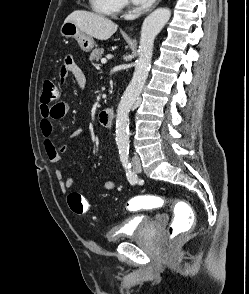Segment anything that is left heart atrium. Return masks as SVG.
I'll return each mask as SVG.
<instances>
[{"label":"left heart atrium","instance_id":"obj_1","mask_svg":"<svg viewBox=\"0 0 249 294\" xmlns=\"http://www.w3.org/2000/svg\"><path fill=\"white\" fill-rule=\"evenodd\" d=\"M135 4H149L153 0H132Z\"/></svg>","mask_w":249,"mask_h":294}]
</instances>
